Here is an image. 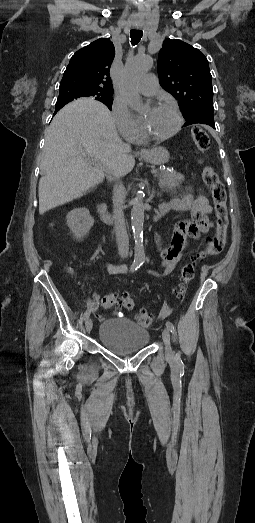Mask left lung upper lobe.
<instances>
[{
  "mask_svg": "<svg viewBox=\"0 0 255 523\" xmlns=\"http://www.w3.org/2000/svg\"><path fill=\"white\" fill-rule=\"evenodd\" d=\"M158 75L163 89L179 100L187 122L215 129L212 76L205 55L181 40L166 39L158 55Z\"/></svg>",
  "mask_w": 255,
  "mask_h": 523,
  "instance_id": "obj_1",
  "label": "left lung upper lobe"
}]
</instances>
